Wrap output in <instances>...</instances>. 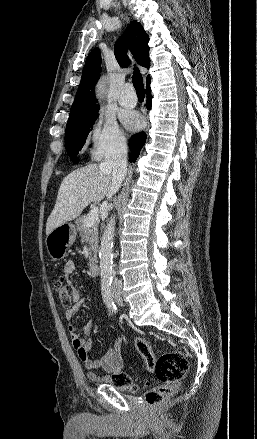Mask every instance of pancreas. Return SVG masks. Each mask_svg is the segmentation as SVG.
Instances as JSON below:
<instances>
[{
    "instance_id": "obj_1",
    "label": "pancreas",
    "mask_w": 257,
    "mask_h": 439,
    "mask_svg": "<svg viewBox=\"0 0 257 439\" xmlns=\"http://www.w3.org/2000/svg\"><path fill=\"white\" fill-rule=\"evenodd\" d=\"M86 219V216L83 215L79 217L75 223L77 230L79 231L81 241H87L88 242V250H89V262H91L97 254L98 249V223L95 222L91 226L87 227L84 225V221Z\"/></svg>"
}]
</instances>
